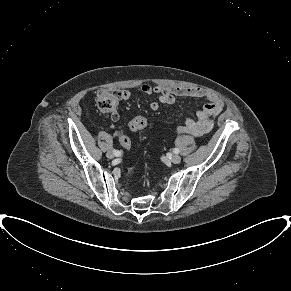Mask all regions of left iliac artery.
I'll return each instance as SVG.
<instances>
[{"label": "left iliac artery", "mask_w": 291, "mask_h": 291, "mask_svg": "<svg viewBox=\"0 0 291 291\" xmlns=\"http://www.w3.org/2000/svg\"><path fill=\"white\" fill-rule=\"evenodd\" d=\"M173 152H174L175 154H178V153H179V149H178V148H174Z\"/></svg>", "instance_id": "44dca946"}]
</instances>
